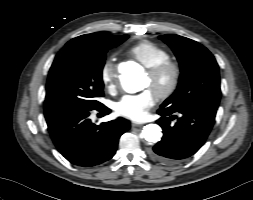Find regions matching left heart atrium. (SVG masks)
Returning <instances> with one entry per match:
<instances>
[{
	"instance_id": "obj_1",
	"label": "left heart atrium",
	"mask_w": 253,
	"mask_h": 200,
	"mask_svg": "<svg viewBox=\"0 0 253 200\" xmlns=\"http://www.w3.org/2000/svg\"><path fill=\"white\" fill-rule=\"evenodd\" d=\"M156 98L152 90L146 89L137 94L123 96L115 105L118 115L133 121L143 120L149 109L155 104Z\"/></svg>"
}]
</instances>
